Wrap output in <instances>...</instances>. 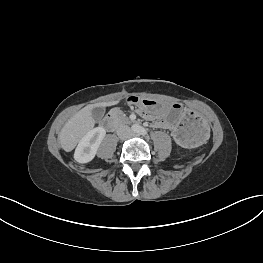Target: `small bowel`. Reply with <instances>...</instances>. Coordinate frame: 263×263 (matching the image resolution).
<instances>
[{"mask_svg":"<svg viewBox=\"0 0 263 263\" xmlns=\"http://www.w3.org/2000/svg\"><path fill=\"white\" fill-rule=\"evenodd\" d=\"M138 113H139V115H140L142 118H144V119H146V120H154V119L156 118L151 111H148V110H146V109H140V110L138 111ZM154 126H155L156 128H159V129L169 130V131L171 132V135H172V137L174 138V140H175L178 144L182 145V144L178 141V139H177V134H176V132H174L171 128H168V127H166L164 124H162L161 121H160V119L155 122Z\"/></svg>","mask_w":263,"mask_h":263,"instance_id":"c3829d8e","label":"small bowel"}]
</instances>
